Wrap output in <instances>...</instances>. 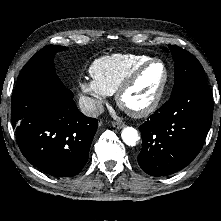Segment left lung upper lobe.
<instances>
[{
    "instance_id": "left-lung-upper-lobe-1",
    "label": "left lung upper lobe",
    "mask_w": 221,
    "mask_h": 221,
    "mask_svg": "<svg viewBox=\"0 0 221 221\" xmlns=\"http://www.w3.org/2000/svg\"><path fill=\"white\" fill-rule=\"evenodd\" d=\"M175 61L174 87L171 96L195 84H207L199 61L188 51L176 45L168 46ZM165 51L167 48L163 47Z\"/></svg>"
}]
</instances>
